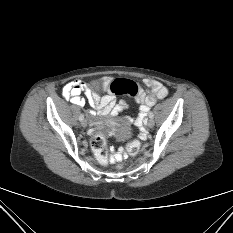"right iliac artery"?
I'll return each instance as SVG.
<instances>
[{"label":"right iliac artery","mask_w":233,"mask_h":233,"mask_svg":"<svg viewBox=\"0 0 233 233\" xmlns=\"http://www.w3.org/2000/svg\"><path fill=\"white\" fill-rule=\"evenodd\" d=\"M83 119H84V115H83V114H80L79 120L82 121Z\"/></svg>","instance_id":"right-iliac-artery-1"}]
</instances>
